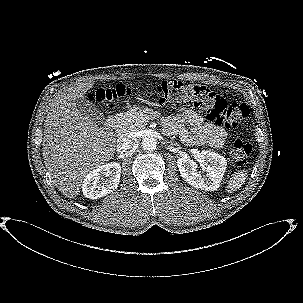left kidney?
Segmentation results:
<instances>
[{"mask_svg": "<svg viewBox=\"0 0 303 303\" xmlns=\"http://www.w3.org/2000/svg\"><path fill=\"white\" fill-rule=\"evenodd\" d=\"M196 161L202 166H206V176H202L197 169V163L185 156L177 160L182 178L191 186L205 190L215 191L223 178L226 170L227 160L218 153L202 151L197 154Z\"/></svg>", "mask_w": 303, "mask_h": 303, "instance_id": "5707ae66", "label": "left kidney"}]
</instances>
